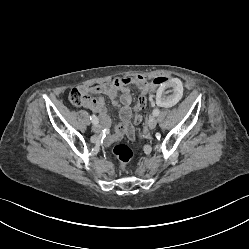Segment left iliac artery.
<instances>
[{"mask_svg": "<svg viewBox=\"0 0 249 249\" xmlns=\"http://www.w3.org/2000/svg\"><path fill=\"white\" fill-rule=\"evenodd\" d=\"M159 114H160V110L159 109L156 108V109L153 110V115L154 116H158Z\"/></svg>", "mask_w": 249, "mask_h": 249, "instance_id": "44dca946", "label": "left iliac artery"}]
</instances>
